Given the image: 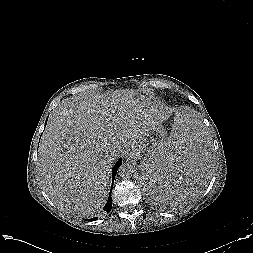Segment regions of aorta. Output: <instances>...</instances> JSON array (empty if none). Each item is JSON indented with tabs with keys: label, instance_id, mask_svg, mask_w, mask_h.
<instances>
[{
	"label": "aorta",
	"instance_id": "aorta-1",
	"mask_svg": "<svg viewBox=\"0 0 253 253\" xmlns=\"http://www.w3.org/2000/svg\"><path fill=\"white\" fill-rule=\"evenodd\" d=\"M134 172L135 168L130 163H123L118 170L119 176L123 179L130 178Z\"/></svg>",
	"mask_w": 253,
	"mask_h": 253
}]
</instances>
